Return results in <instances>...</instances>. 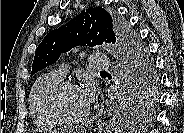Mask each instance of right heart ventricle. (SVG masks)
Listing matches in <instances>:
<instances>
[{"label":"right heart ventricle","mask_w":184,"mask_h":133,"mask_svg":"<svg viewBox=\"0 0 184 133\" xmlns=\"http://www.w3.org/2000/svg\"><path fill=\"white\" fill-rule=\"evenodd\" d=\"M62 80L63 76L57 71H50L41 75L32 87L30 110L34 120L41 126L52 127L58 124L49 111L48 97L51 90Z\"/></svg>","instance_id":"obj_1"}]
</instances>
